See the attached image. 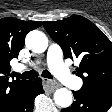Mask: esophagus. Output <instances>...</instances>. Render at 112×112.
Here are the masks:
<instances>
[{
    "instance_id": "34e87169",
    "label": "esophagus",
    "mask_w": 112,
    "mask_h": 112,
    "mask_svg": "<svg viewBox=\"0 0 112 112\" xmlns=\"http://www.w3.org/2000/svg\"><path fill=\"white\" fill-rule=\"evenodd\" d=\"M43 83L45 86V90L48 92H53L54 90H56L59 87V84L53 80L50 79H43Z\"/></svg>"
}]
</instances>
